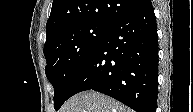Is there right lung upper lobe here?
Returning a JSON list of instances; mask_svg holds the SVG:
<instances>
[{
	"label": "right lung upper lobe",
	"instance_id": "cb5924a9",
	"mask_svg": "<svg viewBox=\"0 0 193 112\" xmlns=\"http://www.w3.org/2000/svg\"><path fill=\"white\" fill-rule=\"evenodd\" d=\"M146 0H54L46 24V41L60 30L79 23L109 27Z\"/></svg>",
	"mask_w": 193,
	"mask_h": 112
}]
</instances>
